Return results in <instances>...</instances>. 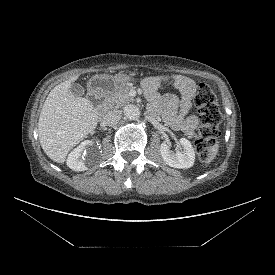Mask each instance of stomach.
I'll return each mask as SVG.
<instances>
[{"label": "stomach", "mask_w": 275, "mask_h": 275, "mask_svg": "<svg viewBox=\"0 0 275 275\" xmlns=\"http://www.w3.org/2000/svg\"><path fill=\"white\" fill-rule=\"evenodd\" d=\"M130 79L131 75L126 73H119L115 76L95 75L89 80L88 86L93 93L111 95L126 85ZM165 81L167 84L172 83L168 79H165Z\"/></svg>", "instance_id": "1"}]
</instances>
